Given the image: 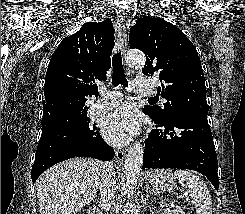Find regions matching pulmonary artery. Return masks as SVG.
<instances>
[{
	"instance_id": "e3ab8cb5",
	"label": "pulmonary artery",
	"mask_w": 245,
	"mask_h": 214,
	"mask_svg": "<svg viewBox=\"0 0 245 214\" xmlns=\"http://www.w3.org/2000/svg\"><path fill=\"white\" fill-rule=\"evenodd\" d=\"M134 89L137 93L152 96L155 94L154 82L150 79L136 78L133 82ZM122 100V94L117 91H102L101 97L97 103V110L105 112L116 107Z\"/></svg>"
}]
</instances>
